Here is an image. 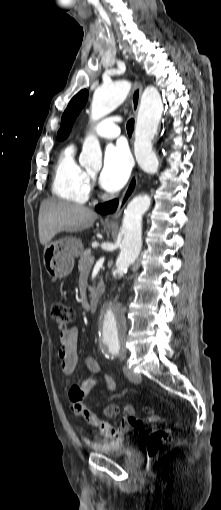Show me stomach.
Instances as JSON below:
<instances>
[{"label": "stomach", "instance_id": "1", "mask_svg": "<svg viewBox=\"0 0 221 510\" xmlns=\"http://www.w3.org/2000/svg\"><path fill=\"white\" fill-rule=\"evenodd\" d=\"M111 229V226H107ZM82 242L75 237L49 242L44 247V266L53 280L67 277L73 270L74 258L81 253Z\"/></svg>", "mask_w": 221, "mask_h": 510}]
</instances>
